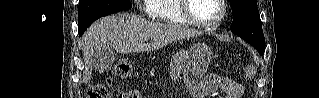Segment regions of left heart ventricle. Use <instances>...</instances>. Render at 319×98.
I'll list each match as a JSON object with an SVG mask.
<instances>
[{"label": "left heart ventricle", "instance_id": "obj_1", "mask_svg": "<svg viewBox=\"0 0 319 98\" xmlns=\"http://www.w3.org/2000/svg\"><path fill=\"white\" fill-rule=\"evenodd\" d=\"M189 9L195 18L204 22H212L221 14V7L217 0H191Z\"/></svg>", "mask_w": 319, "mask_h": 98}]
</instances>
